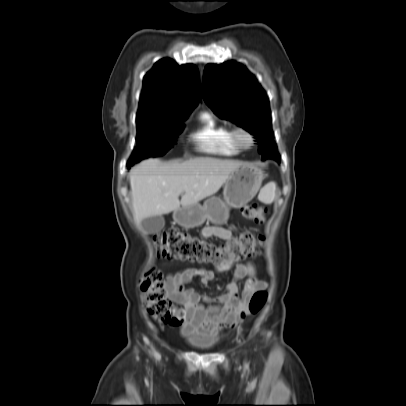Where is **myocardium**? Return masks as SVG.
Returning <instances> with one entry per match:
<instances>
[{
	"instance_id": "obj_1",
	"label": "myocardium",
	"mask_w": 406,
	"mask_h": 406,
	"mask_svg": "<svg viewBox=\"0 0 406 406\" xmlns=\"http://www.w3.org/2000/svg\"><path fill=\"white\" fill-rule=\"evenodd\" d=\"M232 139L242 149H249L255 143V136L244 126H236L232 129Z\"/></svg>"
}]
</instances>
